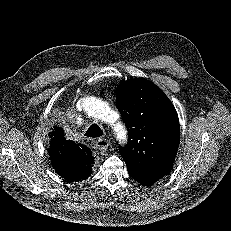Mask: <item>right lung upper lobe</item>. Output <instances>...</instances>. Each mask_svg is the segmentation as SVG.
I'll return each mask as SVG.
<instances>
[{
    "mask_svg": "<svg viewBox=\"0 0 231 231\" xmlns=\"http://www.w3.org/2000/svg\"><path fill=\"white\" fill-rule=\"evenodd\" d=\"M49 136L52 137L49 155L56 173L70 182L88 178L94 164L90 149L66 140L59 126H54Z\"/></svg>",
    "mask_w": 231,
    "mask_h": 231,
    "instance_id": "obj_1",
    "label": "right lung upper lobe"
}]
</instances>
